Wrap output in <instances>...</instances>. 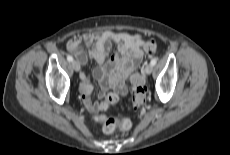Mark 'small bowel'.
<instances>
[{
    "mask_svg": "<svg viewBox=\"0 0 230 155\" xmlns=\"http://www.w3.org/2000/svg\"><path fill=\"white\" fill-rule=\"evenodd\" d=\"M145 44L146 42L138 34L131 35L111 30L77 35L68 41L67 50L79 64H85L88 57L98 63L93 70V76L101 86L100 101H92L93 86L90 77L81 74L82 100L89 111L106 110L111 104L116 103L120 96L127 93V78L142 60ZM81 45L86 46L87 53L81 49ZM113 45L117 46V50L108 59ZM109 88H113L115 92L105 95ZM111 97L115 98L114 103L109 102Z\"/></svg>",
    "mask_w": 230,
    "mask_h": 155,
    "instance_id": "small-bowel-1",
    "label": "small bowel"
}]
</instances>
